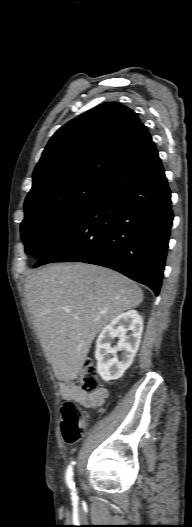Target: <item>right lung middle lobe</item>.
<instances>
[{
  "instance_id": "1",
  "label": "right lung middle lobe",
  "mask_w": 192,
  "mask_h": 527,
  "mask_svg": "<svg viewBox=\"0 0 192 527\" xmlns=\"http://www.w3.org/2000/svg\"><path fill=\"white\" fill-rule=\"evenodd\" d=\"M106 182L86 179L25 201L21 237L25 252L40 259L80 219Z\"/></svg>"
}]
</instances>
